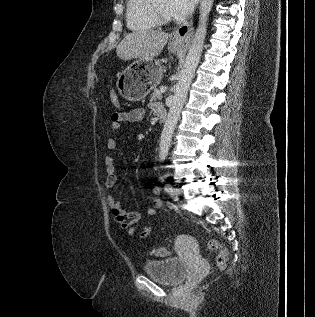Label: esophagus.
Wrapping results in <instances>:
<instances>
[{
    "instance_id": "1",
    "label": "esophagus",
    "mask_w": 315,
    "mask_h": 317,
    "mask_svg": "<svg viewBox=\"0 0 315 317\" xmlns=\"http://www.w3.org/2000/svg\"><path fill=\"white\" fill-rule=\"evenodd\" d=\"M193 34V23L192 21L181 25L179 28H177L172 36L173 39L181 45L182 48L186 49L192 39Z\"/></svg>"
}]
</instances>
